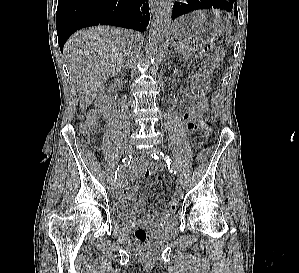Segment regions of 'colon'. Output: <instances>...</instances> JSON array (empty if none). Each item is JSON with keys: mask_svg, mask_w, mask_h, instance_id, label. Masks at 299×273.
<instances>
[{"mask_svg": "<svg viewBox=\"0 0 299 273\" xmlns=\"http://www.w3.org/2000/svg\"><path fill=\"white\" fill-rule=\"evenodd\" d=\"M195 54L198 57L205 58L204 71L206 74H210L214 68L220 63L223 53L222 50L212 43L198 44L194 48ZM208 110V102L205 97H200L196 102L193 103L191 119L196 123L203 122V116ZM97 125L93 117H89L80 127V138L91 144L93 141L94 134L96 133ZM208 158L207 149H203L197 155L199 162H204ZM182 199V192L177 190L174 192L171 200L173 206H177ZM135 237L140 242H148L151 238V234L143 227H138L134 231Z\"/></svg>", "mask_w": 299, "mask_h": 273, "instance_id": "5ec220e1", "label": "colon"}]
</instances>
